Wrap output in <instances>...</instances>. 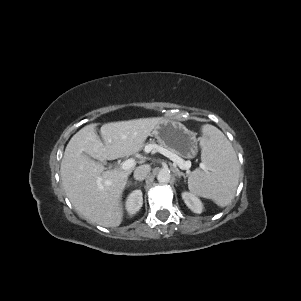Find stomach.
I'll return each instance as SVG.
<instances>
[{
	"instance_id": "0dacf381",
	"label": "stomach",
	"mask_w": 301,
	"mask_h": 301,
	"mask_svg": "<svg viewBox=\"0 0 301 301\" xmlns=\"http://www.w3.org/2000/svg\"><path fill=\"white\" fill-rule=\"evenodd\" d=\"M159 144L175 154L192 159L198 152L196 133L178 121L163 120L153 130Z\"/></svg>"
}]
</instances>
